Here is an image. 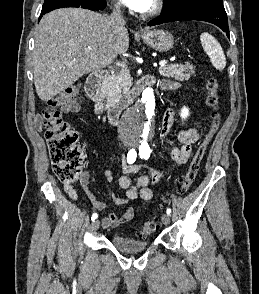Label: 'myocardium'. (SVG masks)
Returning <instances> with one entry per match:
<instances>
[{
    "label": "myocardium",
    "instance_id": "obj_1",
    "mask_svg": "<svg viewBox=\"0 0 259 294\" xmlns=\"http://www.w3.org/2000/svg\"><path fill=\"white\" fill-rule=\"evenodd\" d=\"M164 6V0H153V5L148 11H144V17H153L161 13Z\"/></svg>",
    "mask_w": 259,
    "mask_h": 294
}]
</instances>
